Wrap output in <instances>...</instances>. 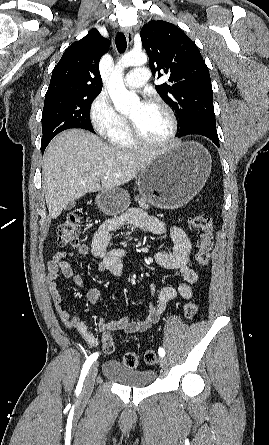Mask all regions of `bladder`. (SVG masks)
Wrapping results in <instances>:
<instances>
[{
    "instance_id": "1",
    "label": "bladder",
    "mask_w": 269,
    "mask_h": 445,
    "mask_svg": "<svg viewBox=\"0 0 269 445\" xmlns=\"http://www.w3.org/2000/svg\"><path fill=\"white\" fill-rule=\"evenodd\" d=\"M104 377L122 386L130 388H146L155 378L156 372L151 369H132L122 365L117 360H108L103 364Z\"/></svg>"
}]
</instances>
